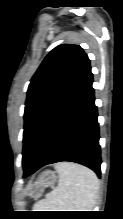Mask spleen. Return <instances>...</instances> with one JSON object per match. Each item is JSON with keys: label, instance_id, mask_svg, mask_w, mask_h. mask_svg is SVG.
Instances as JSON below:
<instances>
[{"label": "spleen", "instance_id": "1", "mask_svg": "<svg viewBox=\"0 0 123 219\" xmlns=\"http://www.w3.org/2000/svg\"><path fill=\"white\" fill-rule=\"evenodd\" d=\"M58 185L36 206L41 211H92L99 189L96 174L79 164L61 162Z\"/></svg>", "mask_w": 123, "mask_h": 219}]
</instances>
